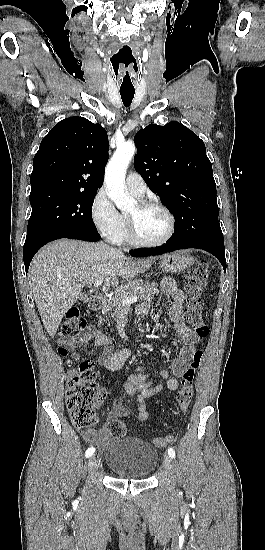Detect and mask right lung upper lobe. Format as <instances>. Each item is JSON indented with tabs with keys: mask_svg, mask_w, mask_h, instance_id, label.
I'll return each mask as SVG.
<instances>
[{
	"mask_svg": "<svg viewBox=\"0 0 265 550\" xmlns=\"http://www.w3.org/2000/svg\"><path fill=\"white\" fill-rule=\"evenodd\" d=\"M108 148L107 132L100 124L83 117L60 121L34 156L31 192L97 193L104 180Z\"/></svg>",
	"mask_w": 265,
	"mask_h": 550,
	"instance_id": "1",
	"label": "right lung upper lobe"
}]
</instances>
